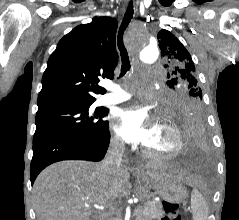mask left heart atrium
<instances>
[{"label": "left heart atrium", "mask_w": 239, "mask_h": 220, "mask_svg": "<svg viewBox=\"0 0 239 220\" xmlns=\"http://www.w3.org/2000/svg\"><path fill=\"white\" fill-rule=\"evenodd\" d=\"M116 131L127 142L146 144L156 124L155 118L142 106H135L116 114Z\"/></svg>", "instance_id": "obj_1"}]
</instances>
